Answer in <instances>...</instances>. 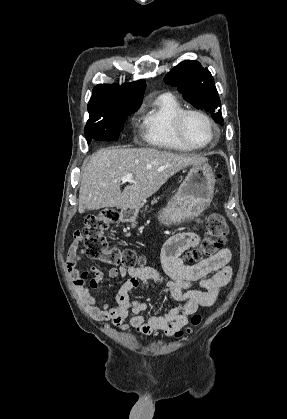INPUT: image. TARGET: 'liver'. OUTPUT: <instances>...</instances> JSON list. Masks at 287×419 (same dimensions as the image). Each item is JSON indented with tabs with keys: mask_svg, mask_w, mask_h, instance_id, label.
I'll return each mask as SVG.
<instances>
[{
	"mask_svg": "<svg viewBox=\"0 0 287 419\" xmlns=\"http://www.w3.org/2000/svg\"><path fill=\"white\" fill-rule=\"evenodd\" d=\"M206 161L156 148H102L83 163L79 212L142 206L174 174ZM129 173L134 179L121 191V177Z\"/></svg>",
	"mask_w": 287,
	"mask_h": 419,
	"instance_id": "1",
	"label": "liver"
}]
</instances>
